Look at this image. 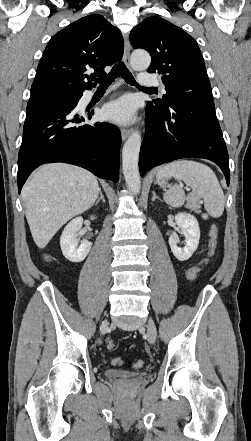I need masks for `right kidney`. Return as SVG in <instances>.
Here are the masks:
<instances>
[{"label":"right kidney","instance_id":"right-kidney-1","mask_svg":"<svg viewBox=\"0 0 251 441\" xmlns=\"http://www.w3.org/2000/svg\"><path fill=\"white\" fill-rule=\"evenodd\" d=\"M91 220H94L95 217L91 216ZM83 218L76 217L71 220L66 227L64 228L61 238H60V246L64 257L71 262H81L83 261L92 246V243L88 240H82L80 245L77 239V232L82 227Z\"/></svg>","mask_w":251,"mask_h":441}]
</instances>
